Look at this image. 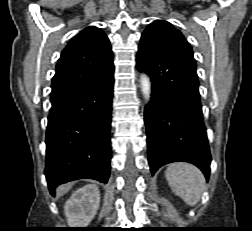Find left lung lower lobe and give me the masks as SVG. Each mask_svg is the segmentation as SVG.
I'll return each instance as SVG.
<instances>
[{
  "instance_id": "obj_1",
  "label": "left lung lower lobe",
  "mask_w": 252,
  "mask_h": 231,
  "mask_svg": "<svg viewBox=\"0 0 252 231\" xmlns=\"http://www.w3.org/2000/svg\"><path fill=\"white\" fill-rule=\"evenodd\" d=\"M137 68L148 73L152 82L144 117L151 172L185 161L200 168L208 180L211 155L195 59L173 49L139 47Z\"/></svg>"
}]
</instances>
